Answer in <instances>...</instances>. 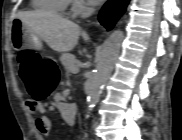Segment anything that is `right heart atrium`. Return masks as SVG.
<instances>
[{
	"label": "right heart atrium",
	"instance_id": "1",
	"mask_svg": "<svg viewBox=\"0 0 182 140\" xmlns=\"http://www.w3.org/2000/svg\"><path fill=\"white\" fill-rule=\"evenodd\" d=\"M90 8L83 4L81 1H73L72 3V10L74 13L76 14H83V13H86Z\"/></svg>",
	"mask_w": 182,
	"mask_h": 140
}]
</instances>
